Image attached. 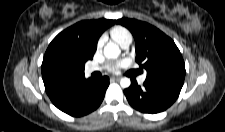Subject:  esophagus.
<instances>
[{"label":"esophagus","mask_w":225,"mask_h":132,"mask_svg":"<svg viewBox=\"0 0 225 132\" xmlns=\"http://www.w3.org/2000/svg\"><path fill=\"white\" fill-rule=\"evenodd\" d=\"M112 81H119L120 80V77H115V76H113V77H111L110 78Z\"/></svg>","instance_id":"1"}]
</instances>
